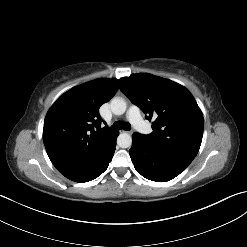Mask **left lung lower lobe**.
<instances>
[{
  "mask_svg": "<svg viewBox=\"0 0 247 247\" xmlns=\"http://www.w3.org/2000/svg\"><path fill=\"white\" fill-rule=\"evenodd\" d=\"M132 139L129 154L135 169L143 177L156 182H166L187 168V164L163 155L142 138L133 135Z\"/></svg>",
  "mask_w": 247,
  "mask_h": 247,
  "instance_id": "1",
  "label": "left lung lower lobe"
}]
</instances>
